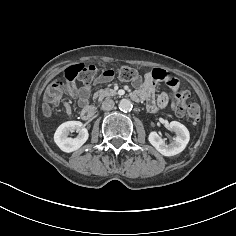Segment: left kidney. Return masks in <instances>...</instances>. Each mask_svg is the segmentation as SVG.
I'll use <instances>...</instances> for the list:
<instances>
[{
    "mask_svg": "<svg viewBox=\"0 0 236 236\" xmlns=\"http://www.w3.org/2000/svg\"><path fill=\"white\" fill-rule=\"evenodd\" d=\"M169 128L176 134L174 141L170 144H166L165 140L156 132H151L148 138L149 142L155 147V149L164 156H174L181 153L190 140L188 129L180 122H170Z\"/></svg>",
    "mask_w": 236,
    "mask_h": 236,
    "instance_id": "5707ae66",
    "label": "left kidney"
}]
</instances>
